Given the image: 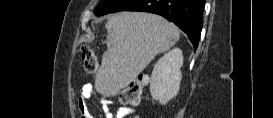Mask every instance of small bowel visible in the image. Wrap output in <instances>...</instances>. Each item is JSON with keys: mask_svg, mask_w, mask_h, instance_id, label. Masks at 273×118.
Instances as JSON below:
<instances>
[{"mask_svg": "<svg viewBox=\"0 0 273 118\" xmlns=\"http://www.w3.org/2000/svg\"><path fill=\"white\" fill-rule=\"evenodd\" d=\"M93 93V88L91 84H86L82 86L80 96L78 99V110L81 118H89V111L87 106V101ZM111 99H104L103 101V111L106 118H124L133 113V109L129 107H119L115 113L110 110Z\"/></svg>", "mask_w": 273, "mask_h": 118, "instance_id": "c3829d8e", "label": "small bowel"}]
</instances>
